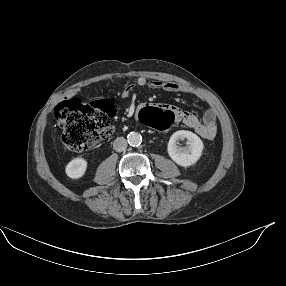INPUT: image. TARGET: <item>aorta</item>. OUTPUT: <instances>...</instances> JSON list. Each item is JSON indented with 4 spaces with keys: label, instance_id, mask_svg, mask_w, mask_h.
<instances>
[{
    "label": "aorta",
    "instance_id": "762f6f07",
    "mask_svg": "<svg viewBox=\"0 0 286 286\" xmlns=\"http://www.w3.org/2000/svg\"><path fill=\"white\" fill-rule=\"evenodd\" d=\"M127 141L130 146H139L142 142V136L138 132H131L127 136Z\"/></svg>",
    "mask_w": 286,
    "mask_h": 286
}]
</instances>
